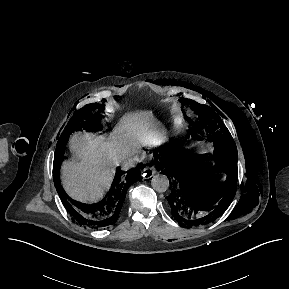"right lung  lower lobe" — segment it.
Listing matches in <instances>:
<instances>
[{"label":"right lung lower lobe","mask_w":289,"mask_h":289,"mask_svg":"<svg viewBox=\"0 0 289 289\" xmlns=\"http://www.w3.org/2000/svg\"><path fill=\"white\" fill-rule=\"evenodd\" d=\"M59 141L54 158V184L62 203L73 219L83 226L93 229L113 226L120 217L129 186L141 179L142 167L130 169L127 173L117 169L112 186L101 201L93 204L77 202L64 193L60 184L59 169L64 159L65 143Z\"/></svg>","instance_id":"98d812e1"}]
</instances>
